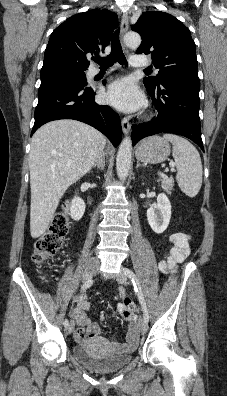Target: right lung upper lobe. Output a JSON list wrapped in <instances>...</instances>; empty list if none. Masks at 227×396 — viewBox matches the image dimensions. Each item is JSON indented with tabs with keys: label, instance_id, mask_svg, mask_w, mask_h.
<instances>
[{
	"label": "right lung upper lobe",
	"instance_id": "obj_1",
	"mask_svg": "<svg viewBox=\"0 0 227 396\" xmlns=\"http://www.w3.org/2000/svg\"><path fill=\"white\" fill-rule=\"evenodd\" d=\"M117 25V15L108 10L93 9L68 18L52 32L41 71L87 70L88 57L104 51Z\"/></svg>",
	"mask_w": 227,
	"mask_h": 396
}]
</instances>
